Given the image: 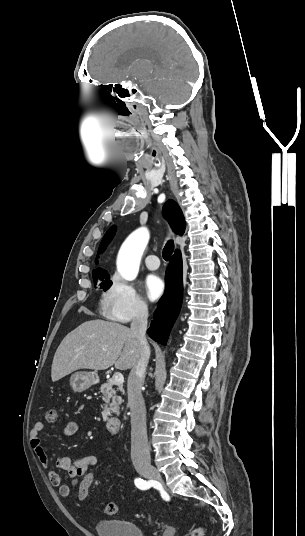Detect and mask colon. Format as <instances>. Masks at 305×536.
I'll use <instances>...</instances> for the list:
<instances>
[{"mask_svg": "<svg viewBox=\"0 0 305 536\" xmlns=\"http://www.w3.org/2000/svg\"><path fill=\"white\" fill-rule=\"evenodd\" d=\"M54 416H55V409H49L46 411L45 417L47 421H51L52 419H54ZM86 480L87 481H84L79 488L78 501L81 504L86 503L87 498L90 495V492H89L91 488L90 482H92L93 480H98V477H93L92 475H88L86 477ZM104 511L106 514H111V515L116 514L118 511V506L113 501L107 502L105 504ZM190 536H205V532L202 528H198V529H195L190 534Z\"/></svg>", "mask_w": 305, "mask_h": 536, "instance_id": "colon-1", "label": "colon"}]
</instances>
